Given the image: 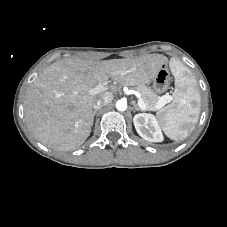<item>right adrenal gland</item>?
Masks as SVG:
<instances>
[{"label":"right adrenal gland","mask_w":227,"mask_h":227,"mask_svg":"<svg viewBox=\"0 0 227 227\" xmlns=\"http://www.w3.org/2000/svg\"><path fill=\"white\" fill-rule=\"evenodd\" d=\"M97 112L98 110L93 111V117L96 115Z\"/></svg>","instance_id":"obj_1"}]
</instances>
